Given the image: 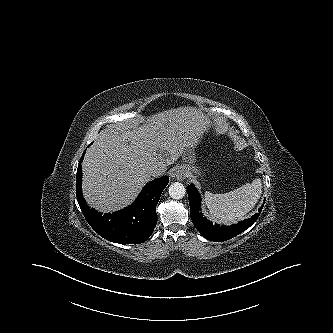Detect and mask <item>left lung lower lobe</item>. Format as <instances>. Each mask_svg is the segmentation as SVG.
<instances>
[{
	"mask_svg": "<svg viewBox=\"0 0 333 333\" xmlns=\"http://www.w3.org/2000/svg\"><path fill=\"white\" fill-rule=\"evenodd\" d=\"M187 193L190 204V215L193 224L203 237L215 242L229 240L245 231L258 219L259 214L261 213L263 208L262 205L261 208H259L258 210L259 213L254 214L251 218L241 221L238 224L231 226H220L218 224L213 225V223L203 217V214L201 213V198L196 187L193 184L187 186Z\"/></svg>",
	"mask_w": 333,
	"mask_h": 333,
	"instance_id": "left-lung-lower-lobe-1",
	"label": "left lung lower lobe"
}]
</instances>
